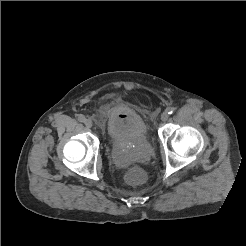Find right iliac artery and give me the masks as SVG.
Returning <instances> with one entry per match:
<instances>
[{
  "mask_svg": "<svg viewBox=\"0 0 246 246\" xmlns=\"http://www.w3.org/2000/svg\"><path fill=\"white\" fill-rule=\"evenodd\" d=\"M78 120H79L80 122H83V121L85 120V117H84L83 115H79V116H78Z\"/></svg>",
  "mask_w": 246,
  "mask_h": 246,
  "instance_id": "1",
  "label": "right iliac artery"
}]
</instances>
